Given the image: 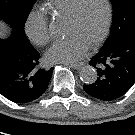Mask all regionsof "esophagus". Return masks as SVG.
I'll return each mask as SVG.
<instances>
[{
  "mask_svg": "<svg viewBox=\"0 0 135 135\" xmlns=\"http://www.w3.org/2000/svg\"><path fill=\"white\" fill-rule=\"evenodd\" d=\"M66 66L73 68V69H79L82 66V63L78 64H65Z\"/></svg>",
  "mask_w": 135,
  "mask_h": 135,
  "instance_id": "34e87169",
  "label": "esophagus"
}]
</instances>
